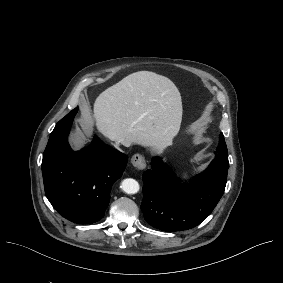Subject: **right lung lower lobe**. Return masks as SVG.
I'll return each instance as SVG.
<instances>
[{
	"mask_svg": "<svg viewBox=\"0 0 283 283\" xmlns=\"http://www.w3.org/2000/svg\"><path fill=\"white\" fill-rule=\"evenodd\" d=\"M78 107L57 124L43 154L45 193L65 218L89 224L103 218L113 183L121 177L127 156L95 138L93 144L74 152L67 142Z\"/></svg>",
	"mask_w": 283,
	"mask_h": 283,
	"instance_id": "98d812e1",
	"label": "right lung lower lobe"
}]
</instances>
